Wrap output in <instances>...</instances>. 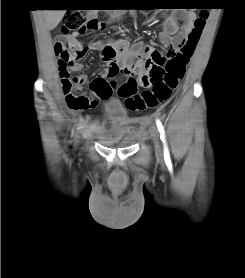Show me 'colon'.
Masks as SVG:
<instances>
[{
    "instance_id": "5ec220e1",
    "label": "colon",
    "mask_w": 245,
    "mask_h": 278,
    "mask_svg": "<svg viewBox=\"0 0 245 278\" xmlns=\"http://www.w3.org/2000/svg\"><path fill=\"white\" fill-rule=\"evenodd\" d=\"M201 8L197 18L193 21V30L189 33L187 40L180 46V51L170 57L157 54L152 66H147L142 75L145 83L150 89L138 93L134 78H127L117 88V95L125 100L128 110L138 112L157 105L167 103L179 82L184 78L187 66L193 55L194 47L205 27L208 11ZM100 22L96 18H87L83 11H71L66 14L62 21L61 31L63 34L77 31H96ZM55 51L59 55V70L64 86L65 102L67 107L73 111H82L97 105L94 84L87 89L81 86L85 81L80 77H72L68 66L73 63L85 51L86 47L76 43H69L60 37L55 43ZM110 88H115L110 85Z\"/></svg>"
}]
</instances>
